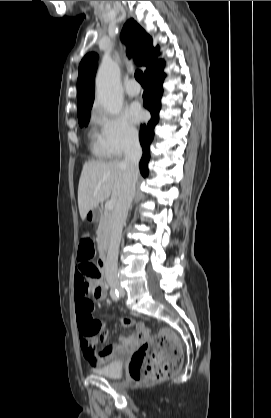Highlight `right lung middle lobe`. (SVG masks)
Wrapping results in <instances>:
<instances>
[{
	"instance_id": "dd1d6c3e",
	"label": "right lung middle lobe",
	"mask_w": 271,
	"mask_h": 418,
	"mask_svg": "<svg viewBox=\"0 0 271 418\" xmlns=\"http://www.w3.org/2000/svg\"><path fill=\"white\" fill-rule=\"evenodd\" d=\"M89 118H90V112L78 116L79 125L81 127L86 126L88 124V122H89Z\"/></svg>"
}]
</instances>
